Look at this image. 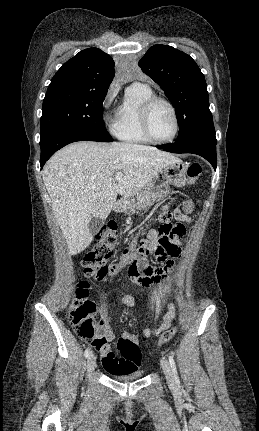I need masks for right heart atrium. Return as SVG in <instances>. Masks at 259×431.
<instances>
[{"instance_id":"1","label":"right heart atrium","mask_w":259,"mask_h":431,"mask_svg":"<svg viewBox=\"0 0 259 431\" xmlns=\"http://www.w3.org/2000/svg\"><path fill=\"white\" fill-rule=\"evenodd\" d=\"M118 88L116 86H111L102 103V113H103V119L105 123L113 128L116 124V119L118 117V113L112 110V104L113 101L117 95Z\"/></svg>"}]
</instances>
